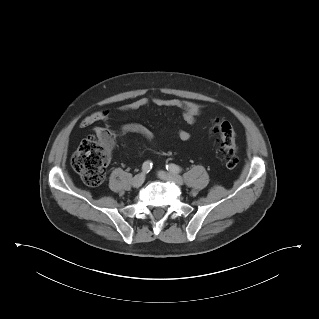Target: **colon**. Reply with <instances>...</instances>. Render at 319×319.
<instances>
[{
  "instance_id": "colon-1",
  "label": "colon",
  "mask_w": 319,
  "mask_h": 319,
  "mask_svg": "<svg viewBox=\"0 0 319 319\" xmlns=\"http://www.w3.org/2000/svg\"><path fill=\"white\" fill-rule=\"evenodd\" d=\"M212 130L218 136L220 153L228 168L237 165L236 133L232 124L223 119L215 118ZM112 138L88 137L82 141L72 157L74 170L89 186H99L105 178L106 167L110 159Z\"/></svg>"
}]
</instances>
